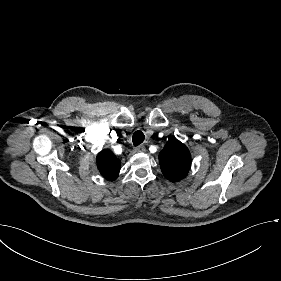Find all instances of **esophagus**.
Instances as JSON below:
<instances>
[{
	"instance_id": "1",
	"label": "esophagus",
	"mask_w": 281,
	"mask_h": 281,
	"mask_svg": "<svg viewBox=\"0 0 281 281\" xmlns=\"http://www.w3.org/2000/svg\"><path fill=\"white\" fill-rule=\"evenodd\" d=\"M146 151V148L144 146H138L134 149V152H137V153H143Z\"/></svg>"
}]
</instances>
